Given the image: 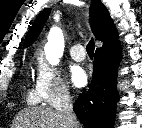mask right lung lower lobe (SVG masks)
<instances>
[{
    "label": "right lung lower lobe",
    "instance_id": "1",
    "mask_svg": "<svg viewBox=\"0 0 142 128\" xmlns=\"http://www.w3.org/2000/svg\"><path fill=\"white\" fill-rule=\"evenodd\" d=\"M120 44L97 49L93 64V76L86 94H81L74 111L86 128H113L116 103L119 95L117 65L120 61Z\"/></svg>",
    "mask_w": 142,
    "mask_h": 128
}]
</instances>
